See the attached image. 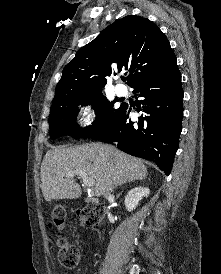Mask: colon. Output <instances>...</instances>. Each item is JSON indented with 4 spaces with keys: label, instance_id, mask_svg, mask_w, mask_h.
Instances as JSON below:
<instances>
[{
    "label": "colon",
    "instance_id": "colon-1",
    "mask_svg": "<svg viewBox=\"0 0 221 274\" xmlns=\"http://www.w3.org/2000/svg\"><path fill=\"white\" fill-rule=\"evenodd\" d=\"M66 209L63 205H55L51 211V223L53 227L60 232L65 225ZM104 214L103 207L99 204H92L77 211V217L86 225H98ZM59 248L58 259L62 266L74 268L79 262V250L77 247L68 244L64 237L57 240Z\"/></svg>",
    "mask_w": 221,
    "mask_h": 274
}]
</instances>
